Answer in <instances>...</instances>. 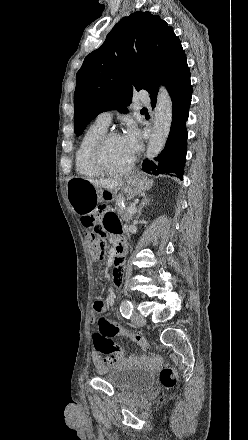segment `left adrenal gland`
I'll return each instance as SVG.
<instances>
[{
  "label": "left adrenal gland",
  "instance_id": "left-adrenal-gland-1",
  "mask_svg": "<svg viewBox=\"0 0 248 440\" xmlns=\"http://www.w3.org/2000/svg\"><path fill=\"white\" fill-rule=\"evenodd\" d=\"M148 203H149V199L145 197V198L143 199V201L141 202L139 208H138V212H137V216H136V218H139V217L141 216L142 209H143L144 207H146V205H147Z\"/></svg>",
  "mask_w": 248,
  "mask_h": 440
}]
</instances>
